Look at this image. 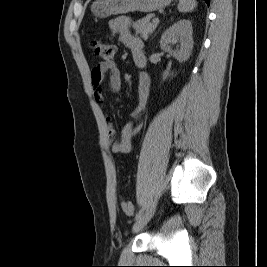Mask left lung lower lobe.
<instances>
[{"label": "left lung lower lobe", "instance_id": "1", "mask_svg": "<svg viewBox=\"0 0 267 267\" xmlns=\"http://www.w3.org/2000/svg\"><path fill=\"white\" fill-rule=\"evenodd\" d=\"M206 4L209 5L210 4V0H205Z\"/></svg>", "mask_w": 267, "mask_h": 267}]
</instances>
